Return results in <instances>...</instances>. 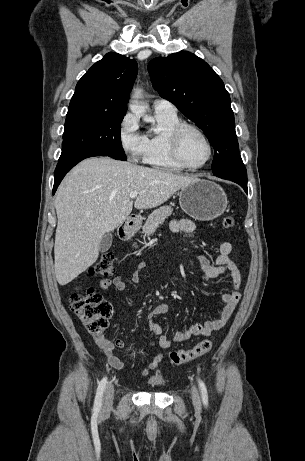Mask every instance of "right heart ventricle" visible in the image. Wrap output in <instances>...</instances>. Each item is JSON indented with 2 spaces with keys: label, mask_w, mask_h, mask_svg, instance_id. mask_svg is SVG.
Returning <instances> with one entry per match:
<instances>
[{
  "label": "right heart ventricle",
  "mask_w": 305,
  "mask_h": 461,
  "mask_svg": "<svg viewBox=\"0 0 305 461\" xmlns=\"http://www.w3.org/2000/svg\"><path fill=\"white\" fill-rule=\"evenodd\" d=\"M155 117V125L142 136L141 161L155 168L180 171L182 167L173 160L168 141L171 131L182 120L177 113L155 112Z\"/></svg>",
  "instance_id": "e07e8e85"
}]
</instances>
